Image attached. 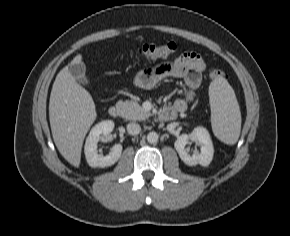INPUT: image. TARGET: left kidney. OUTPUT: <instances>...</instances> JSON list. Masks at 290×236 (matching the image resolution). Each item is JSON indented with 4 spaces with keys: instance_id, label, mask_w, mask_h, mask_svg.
I'll return each instance as SVG.
<instances>
[{
    "instance_id": "1",
    "label": "left kidney",
    "mask_w": 290,
    "mask_h": 236,
    "mask_svg": "<svg viewBox=\"0 0 290 236\" xmlns=\"http://www.w3.org/2000/svg\"><path fill=\"white\" fill-rule=\"evenodd\" d=\"M190 140L200 145V153L194 152L192 155L188 153L185 147ZM174 147L181 160L189 166L197 164L208 166L213 158L214 149L210 134L206 128L201 126L194 128L190 135L182 134L179 136L174 143Z\"/></svg>"
}]
</instances>
